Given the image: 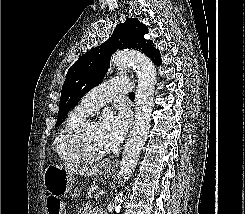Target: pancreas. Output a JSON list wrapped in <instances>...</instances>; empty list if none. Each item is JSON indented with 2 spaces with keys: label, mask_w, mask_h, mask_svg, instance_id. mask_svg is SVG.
<instances>
[{
  "label": "pancreas",
  "mask_w": 245,
  "mask_h": 214,
  "mask_svg": "<svg viewBox=\"0 0 245 214\" xmlns=\"http://www.w3.org/2000/svg\"><path fill=\"white\" fill-rule=\"evenodd\" d=\"M98 186L97 185H95V184H93V185H91L89 188H88V190H87V198L88 199H95V198H98V194H97V192H98Z\"/></svg>",
  "instance_id": "pancreas-1"
}]
</instances>
